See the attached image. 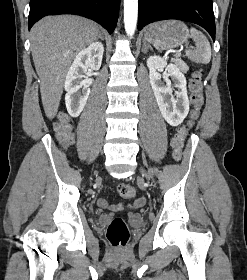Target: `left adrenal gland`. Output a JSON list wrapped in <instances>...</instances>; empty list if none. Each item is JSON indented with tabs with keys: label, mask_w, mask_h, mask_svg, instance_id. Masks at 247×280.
<instances>
[{
	"label": "left adrenal gland",
	"mask_w": 247,
	"mask_h": 280,
	"mask_svg": "<svg viewBox=\"0 0 247 280\" xmlns=\"http://www.w3.org/2000/svg\"><path fill=\"white\" fill-rule=\"evenodd\" d=\"M147 49H151V50H152V47H151L149 44H147L146 41H144V42H143V49H142V51H143L144 53H146V52H147Z\"/></svg>",
	"instance_id": "left-adrenal-gland-1"
}]
</instances>
